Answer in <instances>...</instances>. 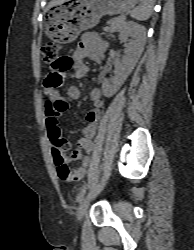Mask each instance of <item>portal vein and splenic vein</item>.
Masks as SVG:
<instances>
[{"mask_svg": "<svg viewBox=\"0 0 194 250\" xmlns=\"http://www.w3.org/2000/svg\"><path fill=\"white\" fill-rule=\"evenodd\" d=\"M121 19H122V20H124V16H123V17H121Z\"/></svg>", "mask_w": 194, "mask_h": 250, "instance_id": "1", "label": "portal vein and splenic vein"}]
</instances>
